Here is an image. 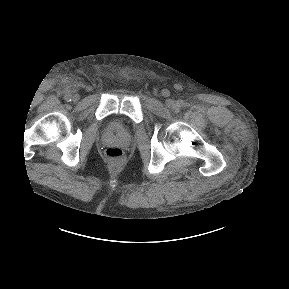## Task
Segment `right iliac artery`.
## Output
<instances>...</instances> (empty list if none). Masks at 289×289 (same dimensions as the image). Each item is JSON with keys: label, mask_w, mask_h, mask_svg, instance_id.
I'll return each mask as SVG.
<instances>
[{"label": "right iliac artery", "mask_w": 289, "mask_h": 289, "mask_svg": "<svg viewBox=\"0 0 289 289\" xmlns=\"http://www.w3.org/2000/svg\"><path fill=\"white\" fill-rule=\"evenodd\" d=\"M64 98H65L66 101H71L72 95L68 93V94L65 95Z\"/></svg>", "instance_id": "1"}]
</instances>
